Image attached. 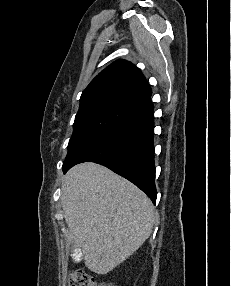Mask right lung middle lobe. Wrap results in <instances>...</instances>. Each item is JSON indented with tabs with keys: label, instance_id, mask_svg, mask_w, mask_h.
I'll use <instances>...</instances> for the list:
<instances>
[{
	"label": "right lung middle lobe",
	"instance_id": "obj_1",
	"mask_svg": "<svg viewBox=\"0 0 231 286\" xmlns=\"http://www.w3.org/2000/svg\"><path fill=\"white\" fill-rule=\"evenodd\" d=\"M133 109L115 103H102L80 109L63 167L76 160L89 146L113 128L135 116Z\"/></svg>",
	"mask_w": 231,
	"mask_h": 286
}]
</instances>
